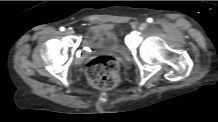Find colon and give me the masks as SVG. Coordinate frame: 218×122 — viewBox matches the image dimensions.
Here are the masks:
<instances>
[{
	"label": "colon",
	"mask_w": 218,
	"mask_h": 122,
	"mask_svg": "<svg viewBox=\"0 0 218 122\" xmlns=\"http://www.w3.org/2000/svg\"><path fill=\"white\" fill-rule=\"evenodd\" d=\"M86 75L94 87L111 89L119 82V62L109 55L95 57L88 63Z\"/></svg>",
	"instance_id": "colon-1"
}]
</instances>
